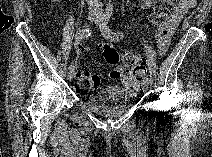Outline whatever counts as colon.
I'll use <instances>...</instances> for the list:
<instances>
[{"instance_id":"colon-1","label":"colon","mask_w":212,"mask_h":157,"mask_svg":"<svg viewBox=\"0 0 212 157\" xmlns=\"http://www.w3.org/2000/svg\"><path fill=\"white\" fill-rule=\"evenodd\" d=\"M175 4L174 0H161L155 4L154 10L150 15V21L158 28L157 38L162 35L166 19L172 14ZM101 52L108 65L115 67L111 73L113 78H120L123 83H129L144 76L146 70L141 65V56L138 53L124 51L119 56L117 50L109 44L103 45ZM98 84L99 77L95 73L84 68L78 71L76 81V90L78 92L86 93L97 88Z\"/></svg>"}]
</instances>
